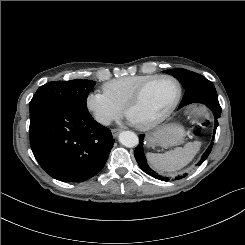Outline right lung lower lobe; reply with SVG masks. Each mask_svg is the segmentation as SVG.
I'll return each mask as SVG.
<instances>
[{
    "instance_id": "obj_1",
    "label": "right lung lower lobe",
    "mask_w": 245,
    "mask_h": 245,
    "mask_svg": "<svg viewBox=\"0 0 245 245\" xmlns=\"http://www.w3.org/2000/svg\"><path fill=\"white\" fill-rule=\"evenodd\" d=\"M32 152L51 177L83 182L99 173L112 149L111 131L89 112L42 107L30 114Z\"/></svg>"
}]
</instances>
